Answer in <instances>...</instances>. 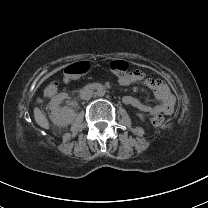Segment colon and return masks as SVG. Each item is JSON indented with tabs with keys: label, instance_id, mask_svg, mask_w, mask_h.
<instances>
[{
	"label": "colon",
	"instance_id": "1",
	"mask_svg": "<svg viewBox=\"0 0 208 208\" xmlns=\"http://www.w3.org/2000/svg\"><path fill=\"white\" fill-rule=\"evenodd\" d=\"M109 70L121 76L122 78L126 75L128 70V63L124 60H113L108 66ZM91 71V64L89 62H81L80 64H69L64 69V75L66 79L75 78L76 75H83L84 73H89ZM165 119L162 115H156L151 119V124L153 127H162L164 125Z\"/></svg>",
	"mask_w": 208,
	"mask_h": 208
}]
</instances>
